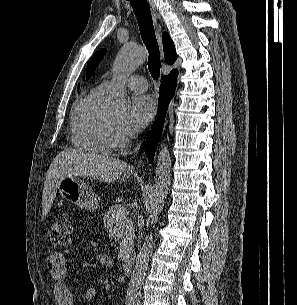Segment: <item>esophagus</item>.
Masks as SVG:
<instances>
[{"mask_svg": "<svg viewBox=\"0 0 297 305\" xmlns=\"http://www.w3.org/2000/svg\"><path fill=\"white\" fill-rule=\"evenodd\" d=\"M147 1H148L149 6H150L152 17H153V20H154L155 32H156V36H157V39H158V43H159L160 49L162 50V27H161V24L159 22L160 21V14L156 9V6H155L153 0H147ZM162 57H163V53H162ZM144 162H145V156L142 155V157L137 162V167L140 168L144 164Z\"/></svg>", "mask_w": 297, "mask_h": 305, "instance_id": "obj_1", "label": "esophagus"}]
</instances>
